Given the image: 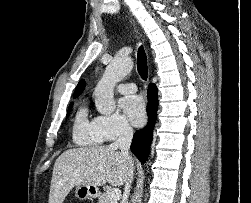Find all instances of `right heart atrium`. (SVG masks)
Instances as JSON below:
<instances>
[{"label": "right heart atrium", "mask_w": 251, "mask_h": 203, "mask_svg": "<svg viewBox=\"0 0 251 203\" xmlns=\"http://www.w3.org/2000/svg\"><path fill=\"white\" fill-rule=\"evenodd\" d=\"M93 123L103 141L106 142H111L120 137L127 136L132 131L126 118L120 114L97 116L93 120Z\"/></svg>", "instance_id": "d8ad5b80"}]
</instances>
